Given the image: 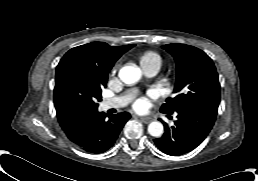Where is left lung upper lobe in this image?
<instances>
[{
	"label": "left lung upper lobe",
	"instance_id": "1",
	"mask_svg": "<svg viewBox=\"0 0 258 181\" xmlns=\"http://www.w3.org/2000/svg\"><path fill=\"white\" fill-rule=\"evenodd\" d=\"M176 61L174 98L167 99L160 111L166 114L194 107L218 108L220 84L211 58L202 50L185 44L162 46Z\"/></svg>",
	"mask_w": 258,
	"mask_h": 181
}]
</instances>
